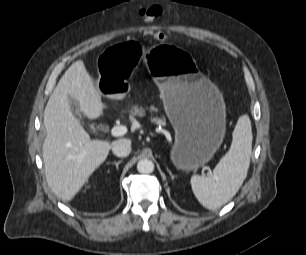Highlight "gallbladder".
I'll use <instances>...</instances> for the list:
<instances>
[{"instance_id": "1", "label": "gallbladder", "mask_w": 306, "mask_h": 255, "mask_svg": "<svg viewBox=\"0 0 306 255\" xmlns=\"http://www.w3.org/2000/svg\"><path fill=\"white\" fill-rule=\"evenodd\" d=\"M70 103H71V106L74 105L76 107V109L74 110L75 117L81 118V114L79 113V110H78V103H77V101L74 100V99H70Z\"/></svg>"}]
</instances>
